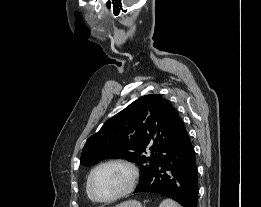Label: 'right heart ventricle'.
I'll return each mask as SVG.
<instances>
[{
    "mask_svg": "<svg viewBox=\"0 0 261 207\" xmlns=\"http://www.w3.org/2000/svg\"><path fill=\"white\" fill-rule=\"evenodd\" d=\"M86 193H87V196H88V198L90 199V201H93L92 198H91L90 195H89L87 185H86Z\"/></svg>",
    "mask_w": 261,
    "mask_h": 207,
    "instance_id": "e07e8e85",
    "label": "right heart ventricle"
}]
</instances>
